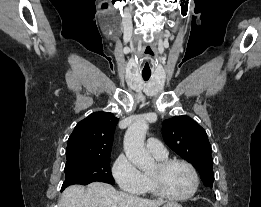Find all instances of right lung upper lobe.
Segmentation results:
<instances>
[{
  "mask_svg": "<svg viewBox=\"0 0 261 207\" xmlns=\"http://www.w3.org/2000/svg\"><path fill=\"white\" fill-rule=\"evenodd\" d=\"M117 122L106 112L92 113L80 121L68 139L67 162L110 156Z\"/></svg>",
  "mask_w": 261,
  "mask_h": 207,
  "instance_id": "cb5924a9",
  "label": "right lung upper lobe"
}]
</instances>
